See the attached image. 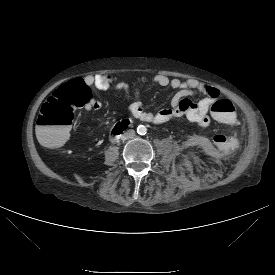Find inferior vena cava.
<instances>
[{
    "mask_svg": "<svg viewBox=\"0 0 275 275\" xmlns=\"http://www.w3.org/2000/svg\"><path fill=\"white\" fill-rule=\"evenodd\" d=\"M135 135V131L133 129H130L128 131H126L122 136L121 139L122 140H127L132 138Z\"/></svg>",
    "mask_w": 275,
    "mask_h": 275,
    "instance_id": "602c4592",
    "label": "inferior vena cava"
}]
</instances>
